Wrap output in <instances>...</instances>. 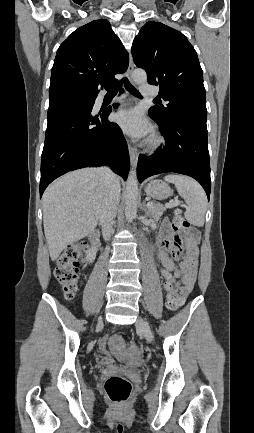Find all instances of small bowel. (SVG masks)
<instances>
[{
  "mask_svg": "<svg viewBox=\"0 0 254 433\" xmlns=\"http://www.w3.org/2000/svg\"><path fill=\"white\" fill-rule=\"evenodd\" d=\"M198 235L177 234L168 222H165L158 235L159 253L161 261V276L165 280L166 290L176 288L181 296L182 302L191 292L196 279L198 265ZM181 259L180 265L176 266L175 260ZM100 348L106 352L105 343L101 342ZM130 353H138L134 346L129 347ZM110 364L111 360L108 361Z\"/></svg>",
  "mask_w": 254,
  "mask_h": 433,
  "instance_id": "c3829d8e",
  "label": "small bowel"
}]
</instances>
